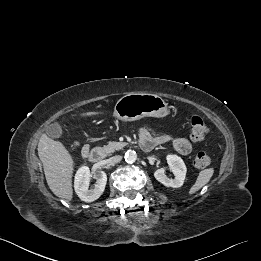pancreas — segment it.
I'll return each instance as SVG.
<instances>
[{"instance_id": "1", "label": "pancreas", "mask_w": 261, "mask_h": 261, "mask_svg": "<svg viewBox=\"0 0 261 261\" xmlns=\"http://www.w3.org/2000/svg\"><path fill=\"white\" fill-rule=\"evenodd\" d=\"M124 146H126V143L112 141L109 142L107 146H104V149L109 154V153H113L116 150L122 149Z\"/></svg>"}]
</instances>
